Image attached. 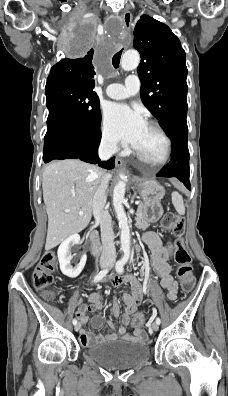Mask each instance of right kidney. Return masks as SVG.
<instances>
[{
	"label": "right kidney",
	"instance_id": "obj_1",
	"mask_svg": "<svg viewBox=\"0 0 228 396\" xmlns=\"http://www.w3.org/2000/svg\"><path fill=\"white\" fill-rule=\"evenodd\" d=\"M80 243V236L78 234H74L66 238L58 248V260L60 263V269L62 273L70 278L77 277L81 271L83 270L87 256L84 254L76 267L71 266V260L73 258L70 248L76 244Z\"/></svg>",
	"mask_w": 228,
	"mask_h": 396
}]
</instances>
